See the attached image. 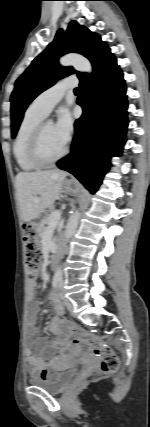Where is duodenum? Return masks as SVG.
I'll return each mask as SVG.
<instances>
[{
  "mask_svg": "<svg viewBox=\"0 0 150 427\" xmlns=\"http://www.w3.org/2000/svg\"><path fill=\"white\" fill-rule=\"evenodd\" d=\"M56 262H57V256H56V254H54L51 258H50V267L53 269V268H55V265H56Z\"/></svg>",
  "mask_w": 150,
  "mask_h": 427,
  "instance_id": "duodenum-1",
  "label": "duodenum"
}]
</instances>
